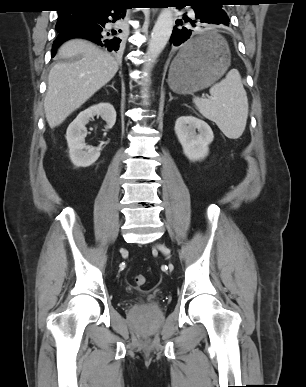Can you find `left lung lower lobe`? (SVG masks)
Masks as SVG:
<instances>
[{"mask_svg":"<svg viewBox=\"0 0 306 387\" xmlns=\"http://www.w3.org/2000/svg\"><path fill=\"white\" fill-rule=\"evenodd\" d=\"M186 6H191L193 19L184 16L182 19L176 20V26L173 28L170 41L174 46L182 44V60L190 61L193 58L203 55L211 45L208 41L192 43L189 40L192 30L186 27L185 24L191 23L193 27H196L197 23H208L223 27L229 26V18H223L217 6L211 2L184 0L178 8L181 9Z\"/></svg>","mask_w":306,"mask_h":387,"instance_id":"left-lung-lower-lobe-1","label":"left lung lower lobe"}]
</instances>
